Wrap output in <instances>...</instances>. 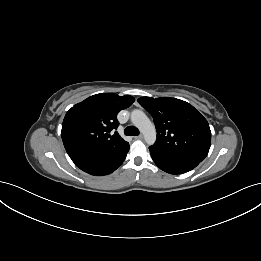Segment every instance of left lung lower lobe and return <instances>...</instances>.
<instances>
[{
    "label": "left lung lower lobe",
    "mask_w": 261,
    "mask_h": 261,
    "mask_svg": "<svg viewBox=\"0 0 261 261\" xmlns=\"http://www.w3.org/2000/svg\"><path fill=\"white\" fill-rule=\"evenodd\" d=\"M151 157L155 164L163 171L170 174H182L194 169L200 161L164 151L154 146L149 147Z\"/></svg>",
    "instance_id": "left-lung-lower-lobe-1"
}]
</instances>
